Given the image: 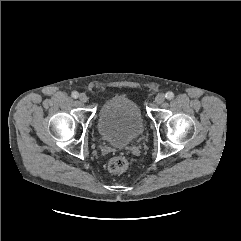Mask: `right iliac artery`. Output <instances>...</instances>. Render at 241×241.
<instances>
[{
    "label": "right iliac artery",
    "mask_w": 241,
    "mask_h": 241,
    "mask_svg": "<svg viewBox=\"0 0 241 241\" xmlns=\"http://www.w3.org/2000/svg\"><path fill=\"white\" fill-rule=\"evenodd\" d=\"M71 95H72V97L75 98V99L78 98V96H79V94H78L77 91L72 92Z\"/></svg>",
    "instance_id": "obj_1"
}]
</instances>
